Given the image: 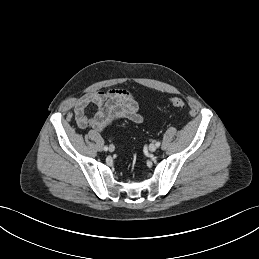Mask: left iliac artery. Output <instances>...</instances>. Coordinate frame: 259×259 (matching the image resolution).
Instances as JSON below:
<instances>
[{
    "label": "left iliac artery",
    "instance_id": "1",
    "mask_svg": "<svg viewBox=\"0 0 259 259\" xmlns=\"http://www.w3.org/2000/svg\"><path fill=\"white\" fill-rule=\"evenodd\" d=\"M160 144H161V143H160L159 141L156 142V146H157V147H159Z\"/></svg>",
    "mask_w": 259,
    "mask_h": 259
}]
</instances>
